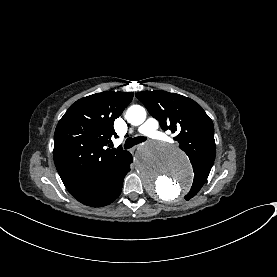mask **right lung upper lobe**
Masks as SVG:
<instances>
[{
	"label": "right lung upper lobe",
	"mask_w": 277,
	"mask_h": 277,
	"mask_svg": "<svg viewBox=\"0 0 277 277\" xmlns=\"http://www.w3.org/2000/svg\"><path fill=\"white\" fill-rule=\"evenodd\" d=\"M134 93L104 91L79 99L58 122L54 134V162L67 188L75 195L99 179L128 151L106 149L117 136L113 122Z\"/></svg>",
	"instance_id": "1"
}]
</instances>
